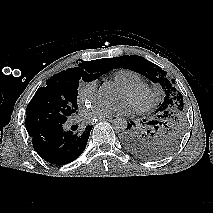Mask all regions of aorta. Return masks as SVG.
Here are the masks:
<instances>
[{
    "label": "aorta",
    "instance_id": "762f6f07",
    "mask_svg": "<svg viewBox=\"0 0 213 213\" xmlns=\"http://www.w3.org/2000/svg\"><path fill=\"white\" fill-rule=\"evenodd\" d=\"M98 99L102 103L111 104L118 100V92L111 84L103 85L98 91ZM115 131H125L127 128V121L123 118H116L112 122Z\"/></svg>",
    "mask_w": 213,
    "mask_h": 213
}]
</instances>
